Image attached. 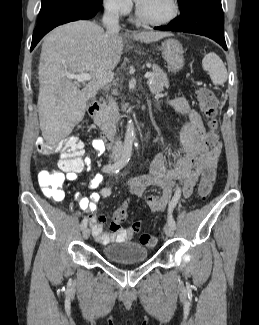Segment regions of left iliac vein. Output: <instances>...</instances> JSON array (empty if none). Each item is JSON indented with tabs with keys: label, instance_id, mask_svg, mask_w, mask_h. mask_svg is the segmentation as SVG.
<instances>
[{
	"label": "left iliac vein",
	"instance_id": "4c4485c4",
	"mask_svg": "<svg viewBox=\"0 0 259 325\" xmlns=\"http://www.w3.org/2000/svg\"><path fill=\"white\" fill-rule=\"evenodd\" d=\"M164 232L168 237H172L174 235V228L167 223L164 227Z\"/></svg>",
	"mask_w": 259,
	"mask_h": 325
}]
</instances>
